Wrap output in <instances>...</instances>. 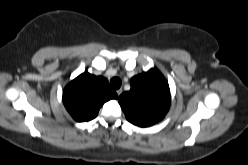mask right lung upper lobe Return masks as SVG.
Segmentation results:
<instances>
[{
  "instance_id": "right-lung-upper-lobe-1",
  "label": "right lung upper lobe",
  "mask_w": 248,
  "mask_h": 165,
  "mask_svg": "<svg viewBox=\"0 0 248 165\" xmlns=\"http://www.w3.org/2000/svg\"><path fill=\"white\" fill-rule=\"evenodd\" d=\"M117 97L106 78L88 72L72 80L63 91V103L78 122L94 119L106 101Z\"/></svg>"
}]
</instances>
